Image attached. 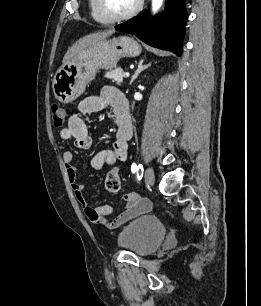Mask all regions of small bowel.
I'll list each match as a JSON object with an SVG mask.
<instances>
[{
  "instance_id": "c3829d8e",
  "label": "small bowel",
  "mask_w": 261,
  "mask_h": 306,
  "mask_svg": "<svg viewBox=\"0 0 261 306\" xmlns=\"http://www.w3.org/2000/svg\"><path fill=\"white\" fill-rule=\"evenodd\" d=\"M105 108L113 110L117 125L116 139L111 149L101 150L92 157L91 166L97 171H101L105 165H114L118 161L124 162L128 158V142L132 137L133 126L128 101L122 92L113 87H104L99 94L85 98L79 104L78 112L69 117L67 127L61 129L59 134L62 140L73 139L75 147L89 149L92 139L81 115L95 113ZM63 161L73 193L91 222L114 229L150 209L151 204L148 199L135 192H129L124 197L125 208L114 218L108 219L107 217L113 212L110 205L93 207L84 198V185L77 181L74 153L65 151Z\"/></svg>"
}]
</instances>
